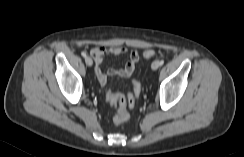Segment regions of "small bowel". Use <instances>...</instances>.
<instances>
[{
  "label": "small bowel",
  "mask_w": 244,
  "mask_h": 157,
  "mask_svg": "<svg viewBox=\"0 0 244 157\" xmlns=\"http://www.w3.org/2000/svg\"><path fill=\"white\" fill-rule=\"evenodd\" d=\"M128 50L124 46H112V47H104L97 46L93 47L90 50V55L92 56L95 62V74L98 82L104 86L107 82L108 76H119L123 78L130 77L134 72L135 66L139 60V54L136 50L129 51V60L125 64L123 68H108L106 71L102 68V63L107 55H121L127 53Z\"/></svg>",
  "instance_id": "c3829d8e"
}]
</instances>
